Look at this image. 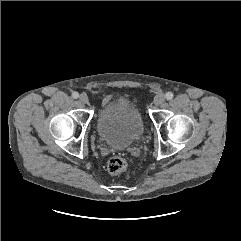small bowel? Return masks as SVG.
<instances>
[{
  "mask_svg": "<svg viewBox=\"0 0 241 241\" xmlns=\"http://www.w3.org/2000/svg\"><path fill=\"white\" fill-rule=\"evenodd\" d=\"M111 99H112L111 96H105V98L103 100V103L107 104V103H109L111 101Z\"/></svg>",
  "mask_w": 241,
  "mask_h": 241,
  "instance_id": "small-bowel-1",
  "label": "small bowel"
}]
</instances>
